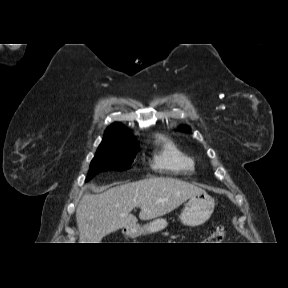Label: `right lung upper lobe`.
Returning <instances> with one entry per match:
<instances>
[{
  "mask_svg": "<svg viewBox=\"0 0 288 288\" xmlns=\"http://www.w3.org/2000/svg\"><path fill=\"white\" fill-rule=\"evenodd\" d=\"M114 138H121L127 141H135V138L131 135V133L119 123H113L106 129L103 141Z\"/></svg>",
  "mask_w": 288,
  "mask_h": 288,
  "instance_id": "obj_1",
  "label": "right lung upper lobe"
}]
</instances>
